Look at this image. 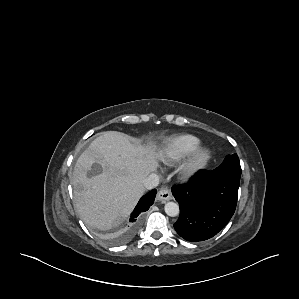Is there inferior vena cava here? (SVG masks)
I'll list each match as a JSON object with an SVG mask.
<instances>
[{
	"label": "inferior vena cava",
	"mask_w": 299,
	"mask_h": 299,
	"mask_svg": "<svg viewBox=\"0 0 299 299\" xmlns=\"http://www.w3.org/2000/svg\"><path fill=\"white\" fill-rule=\"evenodd\" d=\"M159 176L155 173H151L143 180V185L146 189H152L158 186Z\"/></svg>",
	"instance_id": "602c4592"
}]
</instances>
